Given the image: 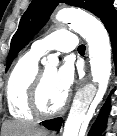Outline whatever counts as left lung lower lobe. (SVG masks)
<instances>
[{
  "label": "left lung lower lobe",
  "instance_id": "obj_1",
  "mask_svg": "<svg viewBox=\"0 0 117 136\" xmlns=\"http://www.w3.org/2000/svg\"><path fill=\"white\" fill-rule=\"evenodd\" d=\"M104 26L110 35L114 60H115V64H116V73H117V14L111 16L104 23ZM110 107H111L110 102H109V100H107L106 103L101 108L100 113L91 128V130L88 134L89 136H101L102 132L105 129L107 116L110 111ZM42 124L47 129L59 130L61 127V124H62V118H56V119L44 121Z\"/></svg>",
  "mask_w": 117,
  "mask_h": 136
}]
</instances>
